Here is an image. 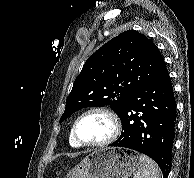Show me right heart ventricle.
Segmentation results:
<instances>
[{"instance_id": "obj_1", "label": "right heart ventricle", "mask_w": 194, "mask_h": 178, "mask_svg": "<svg viewBox=\"0 0 194 178\" xmlns=\"http://www.w3.org/2000/svg\"><path fill=\"white\" fill-rule=\"evenodd\" d=\"M69 144L71 147L73 148H80L81 146H79L75 141L74 139L72 138V135H71V132H70V135H69Z\"/></svg>"}]
</instances>
